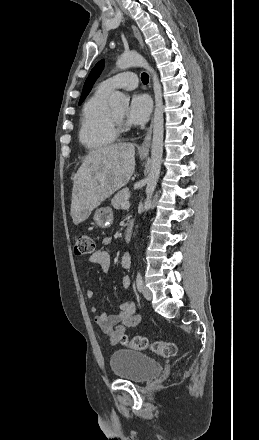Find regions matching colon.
I'll return each instance as SVG.
<instances>
[{"label": "colon", "instance_id": "colon-1", "mask_svg": "<svg viewBox=\"0 0 259 440\" xmlns=\"http://www.w3.org/2000/svg\"><path fill=\"white\" fill-rule=\"evenodd\" d=\"M94 247V241L89 234L81 232L76 235L74 249L77 255L90 254L94 251ZM120 341L124 346L138 350L149 349L153 353L162 357H171L176 352V347L171 342L150 341L148 338L142 336L128 338L127 336L123 335Z\"/></svg>", "mask_w": 259, "mask_h": 440}]
</instances>
